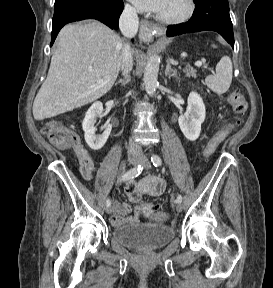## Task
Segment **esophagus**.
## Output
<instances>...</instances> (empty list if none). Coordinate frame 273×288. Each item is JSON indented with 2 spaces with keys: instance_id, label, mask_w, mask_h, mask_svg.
<instances>
[{
  "instance_id": "34e87169",
  "label": "esophagus",
  "mask_w": 273,
  "mask_h": 288,
  "mask_svg": "<svg viewBox=\"0 0 273 288\" xmlns=\"http://www.w3.org/2000/svg\"><path fill=\"white\" fill-rule=\"evenodd\" d=\"M164 29L147 20H141L140 38L150 40L154 34H163Z\"/></svg>"
}]
</instances>
